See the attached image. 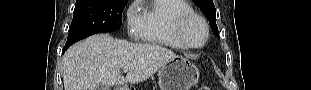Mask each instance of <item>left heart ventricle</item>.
Returning <instances> with one entry per match:
<instances>
[{
	"label": "left heart ventricle",
	"instance_id": "obj_1",
	"mask_svg": "<svg viewBox=\"0 0 311 90\" xmlns=\"http://www.w3.org/2000/svg\"><path fill=\"white\" fill-rule=\"evenodd\" d=\"M186 34L193 43L198 44L204 38V27L201 22L195 20L188 25Z\"/></svg>",
	"mask_w": 311,
	"mask_h": 90
}]
</instances>
